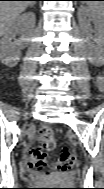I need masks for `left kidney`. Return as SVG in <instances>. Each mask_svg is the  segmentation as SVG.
I'll use <instances>...</instances> for the list:
<instances>
[{
	"mask_svg": "<svg viewBox=\"0 0 104 189\" xmlns=\"http://www.w3.org/2000/svg\"><path fill=\"white\" fill-rule=\"evenodd\" d=\"M79 22L83 29H89V20H92L100 31V34L96 38L97 46L94 51H89L87 56L88 60L95 65H102L104 61V48H103V26H104V16L103 11H92L87 7H81L78 11Z\"/></svg>",
	"mask_w": 104,
	"mask_h": 189,
	"instance_id": "obj_1",
	"label": "left kidney"
}]
</instances>
